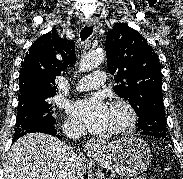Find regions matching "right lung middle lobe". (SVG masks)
<instances>
[{"mask_svg":"<svg viewBox=\"0 0 183 179\" xmlns=\"http://www.w3.org/2000/svg\"><path fill=\"white\" fill-rule=\"evenodd\" d=\"M53 96L46 95L18 99L14 136H18L27 130L53 126L56 123V119L53 117V108L49 104V99Z\"/></svg>","mask_w":183,"mask_h":179,"instance_id":"1","label":"right lung middle lobe"}]
</instances>
